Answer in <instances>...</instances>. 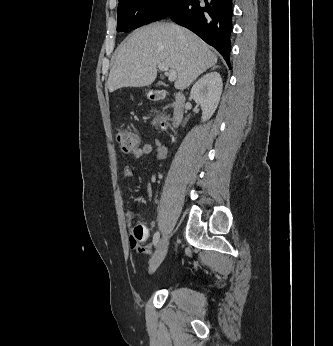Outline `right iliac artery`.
Listing matches in <instances>:
<instances>
[{"label":"right iliac artery","instance_id":"right-iliac-artery-1","mask_svg":"<svg viewBox=\"0 0 333 346\" xmlns=\"http://www.w3.org/2000/svg\"><path fill=\"white\" fill-rule=\"evenodd\" d=\"M160 238L159 232H156L153 237V245L156 246Z\"/></svg>","mask_w":333,"mask_h":346}]
</instances>
